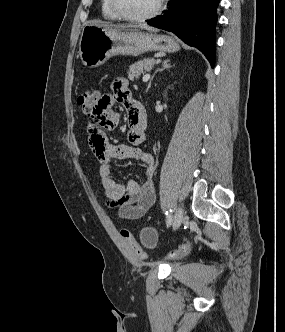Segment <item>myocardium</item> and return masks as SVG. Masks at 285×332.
Listing matches in <instances>:
<instances>
[{"label": "myocardium", "mask_w": 285, "mask_h": 332, "mask_svg": "<svg viewBox=\"0 0 285 332\" xmlns=\"http://www.w3.org/2000/svg\"><path fill=\"white\" fill-rule=\"evenodd\" d=\"M165 0H159L157 7L149 14L142 15V16H133L125 13L117 0H109L110 6L114 13L123 20L130 21V22H144L151 20L157 17L163 10Z\"/></svg>", "instance_id": "1"}]
</instances>
